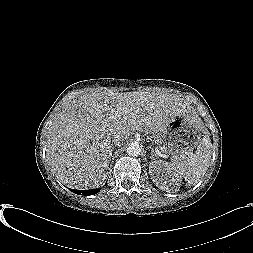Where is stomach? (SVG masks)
<instances>
[{
	"label": "stomach",
	"mask_w": 253,
	"mask_h": 253,
	"mask_svg": "<svg viewBox=\"0 0 253 253\" xmlns=\"http://www.w3.org/2000/svg\"><path fill=\"white\" fill-rule=\"evenodd\" d=\"M203 128L197 116L182 114L173 118L154 139L161 153L173 158L190 156L202 140Z\"/></svg>",
	"instance_id": "obj_1"
}]
</instances>
